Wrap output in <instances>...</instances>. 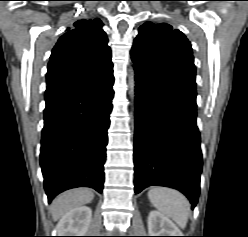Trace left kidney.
I'll return each instance as SVG.
<instances>
[{"instance_id": "left-kidney-1", "label": "left kidney", "mask_w": 248, "mask_h": 237, "mask_svg": "<svg viewBox=\"0 0 248 237\" xmlns=\"http://www.w3.org/2000/svg\"><path fill=\"white\" fill-rule=\"evenodd\" d=\"M149 236H183L177 226L158 211H151L148 216Z\"/></svg>"}]
</instances>
